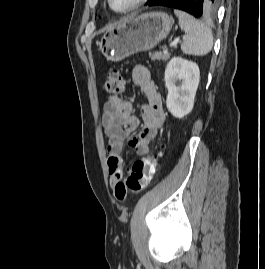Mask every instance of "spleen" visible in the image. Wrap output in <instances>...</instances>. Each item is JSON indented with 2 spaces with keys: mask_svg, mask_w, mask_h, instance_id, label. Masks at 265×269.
Segmentation results:
<instances>
[{
  "mask_svg": "<svg viewBox=\"0 0 265 269\" xmlns=\"http://www.w3.org/2000/svg\"><path fill=\"white\" fill-rule=\"evenodd\" d=\"M174 14L179 19L180 28L186 34L181 44L182 52L195 56L207 55L213 47L211 29L184 11L174 9Z\"/></svg>",
  "mask_w": 265,
  "mask_h": 269,
  "instance_id": "1",
  "label": "spleen"
}]
</instances>
